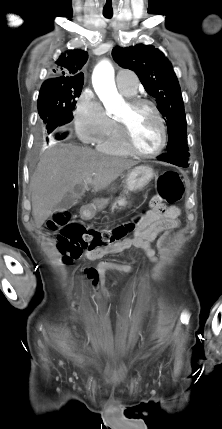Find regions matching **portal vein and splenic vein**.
<instances>
[{
    "label": "portal vein and splenic vein",
    "mask_w": 222,
    "mask_h": 429,
    "mask_svg": "<svg viewBox=\"0 0 222 429\" xmlns=\"http://www.w3.org/2000/svg\"><path fill=\"white\" fill-rule=\"evenodd\" d=\"M90 181H91L90 179L85 180V182H84V183H85V185H87L88 183H90Z\"/></svg>",
    "instance_id": "portal-vein-and-splenic-vein-1"
}]
</instances>
